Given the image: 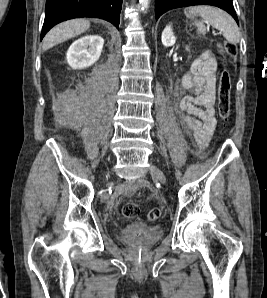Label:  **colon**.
<instances>
[{"instance_id": "obj_1", "label": "colon", "mask_w": 267, "mask_h": 298, "mask_svg": "<svg viewBox=\"0 0 267 298\" xmlns=\"http://www.w3.org/2000/svg\"><path fill=\"white\" fill-rule=\"evenodd\" d=\"M219 50L224 57L225 63L233 64L237 56V46L234 43L222 42ZM231 106V73L224 68L219 79L218 87V111L221 119L227 121L230 115ZM122 214L125 218L133 219L139 214V207L134 202L125 203L122 207ZM161 216L159 208H153L147 214L150 221L157 220Z\"/></svg>"}]
</instances>
